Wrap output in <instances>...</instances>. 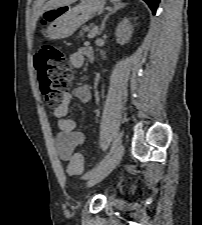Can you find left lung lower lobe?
<instances>
[{
	"mask_svg": "<svg viewBox=\"0 0 202 225\" xmlns=\"http://www.w3.org/2000/svg\"><path fill=\"white\" fill-rule=\"evenodd\" d=\"M144 1L149 5V7L152 10L153 14H155L160 0H144Z\"/></svg>",
	"mask_w": 202,
	"mask_h": 225,
	"instance_id": "left-lung-lower-lobe-1",
	"label": "left lung lower lobe"
}]
</instances>
